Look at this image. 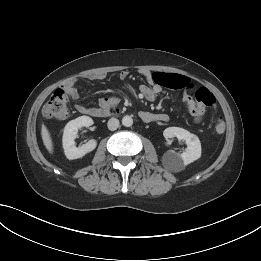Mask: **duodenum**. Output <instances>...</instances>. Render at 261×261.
<instances>
[{"label": "duodenum", "mask_w": 261, "mask_h": 261, "mask_svg": "<svg viewBox=\"0 0 261 261\" xmlns=\"http://www.w3.org/2000/svg\"><path fill=\"white\" fill-rule=\"evenodd\" d=\"M115 112H116L115 109L109 108V109H106V110H98V111H95V112L93 113V116L100 117V116L107 115V114H112V113H115ZM144 120H145V121H148L147 118H145Z\"/></svg>", "instance_id": "1"}]
</instances>
